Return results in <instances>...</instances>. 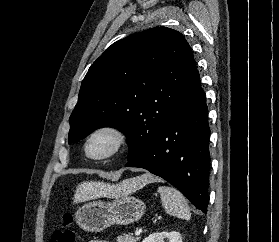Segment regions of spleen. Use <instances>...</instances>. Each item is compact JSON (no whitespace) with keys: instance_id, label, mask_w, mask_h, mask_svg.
<instances>
[{"instance_id":"spleen-1","label":"spleen","mask_w":279,"mask_h":242,"mask_svg":"<svg viewBox=\"0 0 279 242\" xmlns=\"http://www.w3.org/2000/svg\"><path fill=\"white\" fill-rule=\"evenodd\" d=\"M161 203L169 215L189 220L190 207L183 194L173 187L159 186Z\"/></svg>"}]
</instances>
